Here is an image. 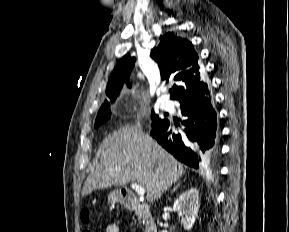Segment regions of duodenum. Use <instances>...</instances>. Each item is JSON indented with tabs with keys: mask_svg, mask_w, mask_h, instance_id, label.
<instances>
[{
	"mask_svg": "<svg viewBox=\"0 0 289 232\" xmlns=\"http://www.w3.org/2000/svg\"><path fill=\"white\" fill-rule=\"evenodd\" d=\"M119 201L126 209L136 212L143 219L145 232H158L150 208L146 204L139 203L132 191L122 189L119 194Z\"/></svg>",
	"mask_w": 289,
	"mask_h": 232,
	"instance_id": "duodenum-1",
	"label": "duodenum"
}]
</instances>
